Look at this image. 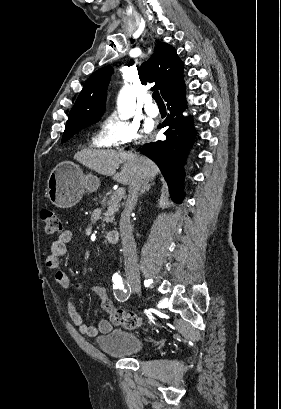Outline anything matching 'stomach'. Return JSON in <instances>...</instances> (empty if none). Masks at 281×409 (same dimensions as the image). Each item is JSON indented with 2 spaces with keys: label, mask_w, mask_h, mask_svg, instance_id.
Wrapping results in <instances>:
<instances>
[{
  "label": "stomach",
  "mask_w": 281,
  "mask_h": 409,
  "mask_svg": "<svg viewBox=\"0 0 281 409\" xmlns=\"http://www.w3.org/2000/svg\"><path fill=\"white\" fill-rule=\"evenodd\" d=\"M100 180L93 174H84L79 164L63 160L51 170L47 180V194L52 205L59 209L74 207L84 192H94Z\"/></svg>",
  "instance_id": "obj_1"
}]
</instances>
